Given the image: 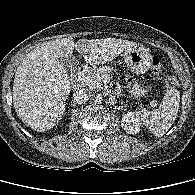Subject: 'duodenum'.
<instances>
[{
    "label": "duodenum",
    "instance_id": "410a0bca",
    "mask_svg": "<svg viewBox=\"0 0 195 195\" xmlns=\"http://www.w3.org/2000/svg\"><path fill=\"white\" fill-rule=\"evenodd\" d=\"M93 69V66L92 65H85L81 71L79 72V75H78V78H77V81L75 83V88L78 89L81 87L82 85V80L84 78V76L91 70Z\"/></svg>",
    "mask_w": 195,
    "mask_h": 195
}]
</instances>
